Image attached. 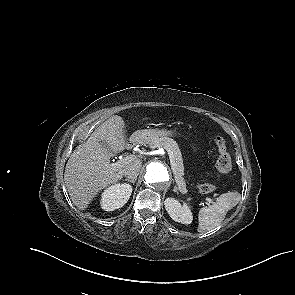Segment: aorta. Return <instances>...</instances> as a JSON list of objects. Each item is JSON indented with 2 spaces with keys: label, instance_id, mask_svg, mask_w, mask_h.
Listing matches in <instances>:
<instances>
[{
  "label": "aorta",
  "instance_id": "aorta-1",
  "mask_svg": "<svg viewBox=\"0 0 295 295\" xmlns=\"http://www.w3.org/2000/svg\"><path fill=\"white\" fill-rule=\"evenodd\" d=\"M144 179L150 187L164 185L170 181V173L164 164L151 162L146 167Z\"/></svg>",
  "mask_w": 295,
  "mask_h": 295
}]
</instances>
